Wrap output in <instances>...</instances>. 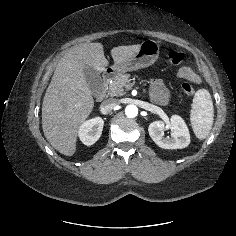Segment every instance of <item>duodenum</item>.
Listing matches in <instances>:
<instances>
[{
    "mask_svg": "<svg viewBox=\"0 0 236 236\" xmlns=\"http://www.w3.org/2000/svg\"><path fill=\"white\" fill-rule=\"evenodd\" d=\"M115 75L113 69H107L102 75V85L100 89L95 93V99L100 101L106 96L107 86L111 78Z\"/></svg>",
    "mask_w": 236,
    "mask_h": 236,
    "instance_id": "1",
    "label": "duodenum"
}]
</instances>
